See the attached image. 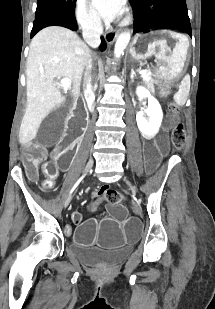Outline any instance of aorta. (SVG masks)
Returning a JSON list of instances; mask_svg holds the SVG:
<instances>
[{"label": "aorta", "mask_w": 215, "mask_h": 309, "mask_svg": "<svg viewBox=\"0 0 215 309\" xmlns=\"http://www.w3.org/2000/svg\"><path fill=\"white\" fill-rule=\"evenodd\" d=\"M130 36H131L130 32H121V34H119L115 42V48H114L115 56H121L122 52H124V48H126L130 40Z\"/></svg>", "instance_id": "obj_1"}]
</instances>
